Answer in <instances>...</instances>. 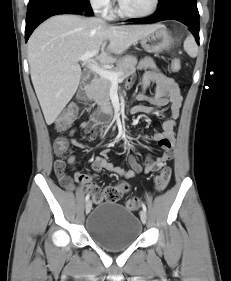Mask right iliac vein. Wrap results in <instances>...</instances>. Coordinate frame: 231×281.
<instances>
[{
    "instance_id": "obj_1",
    "label": "right iliac vein",
    "mask_w": 231,
    "mask_h": 281,
    "mask_svg": "<svg viewBox=\"0 0 231 281\" xmlns=\"http://www.w3.org/2000/svg\"><path fill=\"white\" fill-rule=\"evenodd\" d=\"M92 208V203L91 201H87L86 205H85V212L86 214H89Z\"/></svg>"
}]
</instances>
